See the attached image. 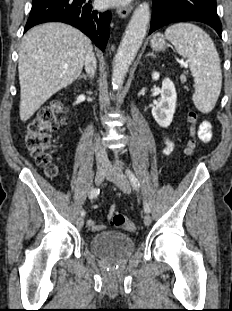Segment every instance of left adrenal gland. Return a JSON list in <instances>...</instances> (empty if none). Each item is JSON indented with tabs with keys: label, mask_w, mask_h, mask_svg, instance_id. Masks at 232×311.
I'll use <instances>...</instances> for the list:
<instances>
[{
	"label": "left adrenal gland",
	"mask_w": 232,
	"mask_h": 311,
	"mask_svg": "<svg viewBox=\"0 0 232 311\" xmlns=\"http://www.w3.org/2000/svg\"><path fill=\"white\" fill-rule=\"evenodd\" d=\"M147 56L154 57L153 53H149V54L146 55V57Z\"/></svg>",
	"instance_id": "1"
}]
</instances>
